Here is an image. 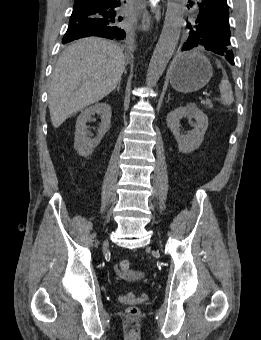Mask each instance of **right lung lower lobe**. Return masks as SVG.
<instances>
[{
	"label": "right lung lower lobe",
	"mask_w": 261,
	"mask_h": 340,
	"mask_svg": "<svg viewBox=\"0 0 261 340\" xmlns=\"http://www.w3.org/2000/svg\"><path fill=\"white\" fill-rule=\"evenodd\" d=\"M123 0H75L66 35L123 39L116 24L126 16Z\"/></svg>",
	"instance_id": "98d812e1"
}]
</instances>
